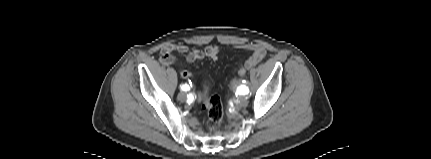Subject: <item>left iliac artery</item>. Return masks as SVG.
Wrapping results in <instances>:
<instances>
[{
	"label": "left iliac artery",
	"instance_id": "left-iliac-artery-1",
	"mask_svg": "<svg viewBox=\"0 0 431 159\" xmlns=\"http://www.w3.org/2000/svg\"><path fill=\"white\" fill-rule=\"evenodd\" d=\"M238 93L244 94V95L248 94L249 93V89H248V87L242 85V86L238 87Z\"/></svg>",
	"mask_w": 431,
	"mask_h": 159
}]
</instances>
